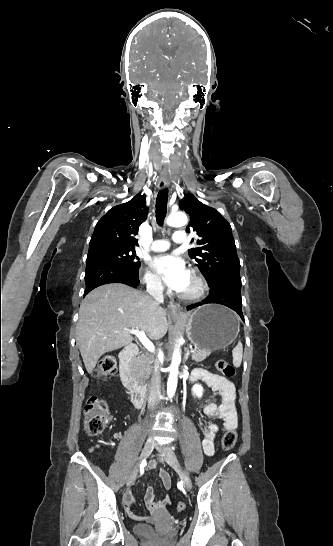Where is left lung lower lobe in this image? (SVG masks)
<instances>
[{"label":"left lung lower lobe","instance_id":"1","mask_svg":"<svg viewBox=\"0 0 333 546\" xmlns=\"http://www.w3.org/2000/svg\"><path fill=\"white\" fill-rule=\"evenodd\" d=\"M209 287V296L200 303L188 306V310L203 304L217 303L231 308L239 314L241 319L244 320L242 313L241 280L239 273L219 277L212 284H210Z\"/></svg>","mask_w":333,"mask_h":546}]
</instances>
